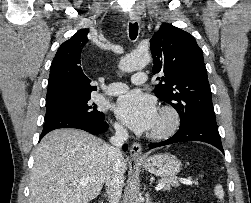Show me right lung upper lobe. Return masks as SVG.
Here are the masks:
<instances>
[{"instance_id": "obj_1", "label": "right lung upper lobe", "mask_w": 251, "mask_h": 203, "mask_svg": "<svg viewBox=\"0 0 251 203\" xmlns=\"http://www.w3.org/2000/svg\"><path fill=\"white\" fill-rule=\"evenodd\" d=\"M88 30L81 29L57 50L48 80L46 108L91 98L96 90L81 67V52L88 42Z\"/></svg>"}]
</instances>
